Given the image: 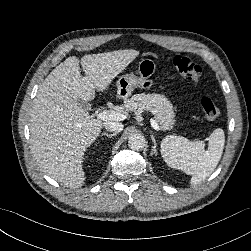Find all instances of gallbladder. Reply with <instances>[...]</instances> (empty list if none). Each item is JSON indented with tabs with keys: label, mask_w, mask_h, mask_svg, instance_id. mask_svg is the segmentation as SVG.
Listing matches in <instances>:
<instances>
[{
	"label": "gallbladder",
	"mask_w": 251,
	"mask_h": 251,
	"mask_svg": "<svg viewBox=\"0 0 251 251\" xmlns=\"http://www.w3.org/2000/svg\"><path fill=\"white\" fill-rule=\"evenodd\" d=\"M78 103L81 104L84 108H86L88 110L91 109V104L88 102H83V101L79 100Z\"/></svg>",
	"instance_id": "1"
}]
</instances>
